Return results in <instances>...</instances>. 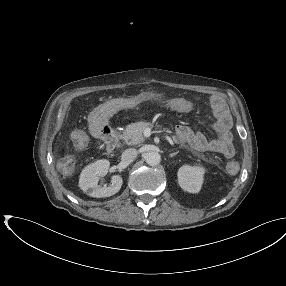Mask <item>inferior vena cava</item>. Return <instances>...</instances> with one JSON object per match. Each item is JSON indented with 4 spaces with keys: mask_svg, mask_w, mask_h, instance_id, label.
I'll return each instance as SVG.
<instances>
[{
    "mask_svg": "<svg viewBox=\"0 0 286 286\" xmlns=\"http://www.w3.org/2000/svg\"><path fill=\"white\" fill-rule=\"evenodd\" d=\"M137 157V150L134 148H129L126 149L121 156V161L122 163H124L125 165L130 164L131 162H133L135 160V158Z\"/></svg>",
    "mask_w": 286,
    "mask_h": 286,
    "instance_id": "obj_1",
    "label": "inferior vena cava"
}]
</instances>
